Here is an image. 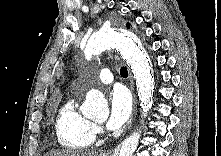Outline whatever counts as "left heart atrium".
Returning <instances> with one entry per match:
<instances>
[{"label":"left heart atrium","mask_w":221,"mask_h":156,"mask_svg":"<svg viewBox=\"0 0 221 156\" xmlns=\"http://www.w3.org/2000/svg\"><path fill=\"white\" fill-rule=\"evenodd\" d=\"M110 113L106 123L109 130H118L128 121L132 112V99L123 87H115L109 96Z\"/></svg>","instance_id":"1"}]
</instances>
